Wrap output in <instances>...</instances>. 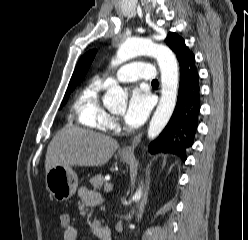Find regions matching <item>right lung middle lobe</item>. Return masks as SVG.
Wrapping results in <instances>:
<instances>
[{
  "mask_svg": "<svg viewBox=\"0 0 248 240\" xmlns=\"http://www.w3.org/2000/svg\"><path fill=\"white\" fill-rule=\"evenodd\" d=\"M78 83H79L78 81H71V82L69 83L68 89H67V91H66V93H65V96H64V99H63V101H62L61 106H63V105L66 103V101H67L68 98H69L70 93L75 89V87L77 86Z\"/></svg>",
  "mask_w": 248,
  "mask_h": 240,
  "instance_id": "1",
  "label": "right lung middle lobe"
}]
</instances>
